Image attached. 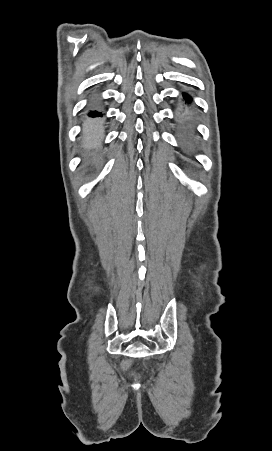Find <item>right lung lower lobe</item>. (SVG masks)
Returning a JSON list of instances; mask_svg holds the SVG:
<instances>
[{
	"label": "right lung lower lobe",
	"mask_w": 272,
	"mask_h": 451,
	"mask_svg": "<svg viewBox=\"0 0 272 451\" xmlns=\"http://www.w3.org/2000/svg\"><path fill=\"white\" fill-rule=\"evenodd\" d=\"M105 113L97 107H93L88 110L86 113V119L84 120L85 127L88 130H99L104 126V117Z\"/></svg>",
	"instance_id": "obj_1"
}]
</instances>
